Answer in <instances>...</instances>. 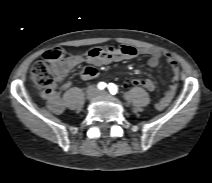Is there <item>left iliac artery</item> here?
<instances>
[{"instance_id": "1", "label": "left iliac artery", "mask_w": 212, "mask_h": 183, "mask_svg": "<svg viewBox=\"0 0 212 183\" xmlns=\"http://www.w3.org/2000/svg\"><path fill=\"white\" fill-rule=\"evenodd\" d=\"M108 89H109V92L111 94H113V95H115L117 93V91H118L117 86L115 84H113V83H109Z\"/></svg>"}]
</instances>
